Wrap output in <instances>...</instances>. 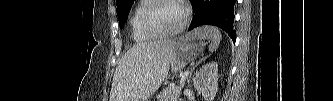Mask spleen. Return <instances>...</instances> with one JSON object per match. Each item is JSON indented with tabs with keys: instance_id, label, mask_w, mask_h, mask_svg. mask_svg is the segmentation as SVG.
<instances>
[{
	"instance_id": "spleen-1",
	"label": "spleen",
	"mask_w": 333,
	"mask_h": 101,
	"mask_svg": "<svg viewBox=\"0 0 333 101\" xmlns=\"http://www.w3.org/2000/svg\"><path fill=\"white\" fill-rule=\"evenodd\" d=\"M203 39H208L211 41L209 45V51L214 52L217 50L220 41L222 39L221 32L218 28L212 26H205L203 28H198L195 30Z\"/></svg>"
}]
</instances>
